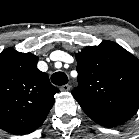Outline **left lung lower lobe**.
Here are the masks:
<instances>
[{
    "label": "left lung lower lobe",
    "mask_w": 139,
    "mask_h": 139,
    "mask_svg": "<svg viewBox=\"0 0 139 139\" xmlns=\"http://www.w3.org/2000/svg\"><path fill=\"white\" fill-rule=\"evenodd\" d=\"M136 112H117V113H89L88 116L96 123L106 126L113 127L130 119Z\"/></svg>",
    "instance_id": "0a47b994"
}]
</instances>
